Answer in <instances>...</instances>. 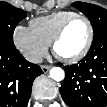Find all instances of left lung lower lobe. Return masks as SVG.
Returning a JSON list of instances; mask_svg holds the SVG:
<instances>
[{"label":"left lung lower lobe","mask_w":107,"mask_h":107,"mask_svg":"<svg viewBox=\"0 0 107 107\" xmlns=\"http://www.w3.org/2000/svg\"><path fill=\"white\" fill-rule=\"evenodd\" d=\"M64 69L60 93L68 106L107 105V34L93 40L88 54L78 64Z\"/></svg>","instance_id":"0a47b994"}]
</instances>
